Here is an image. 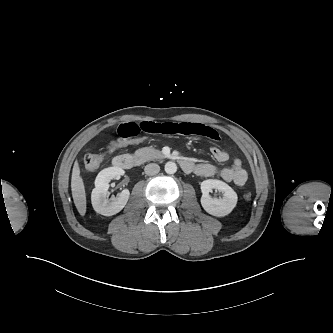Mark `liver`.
Masks as SVG:
<instances>
[{"label":"liver","mask_w":333,"mask_h":333,"mask_svg":"<svg viewBox=\"0 0 333 333\" xmlns=\"http://www.w3.org/2000/svg\"><path fill=\"white\" fill-rule=\"evenodd\" d=\"M71 190L75 206L80 213L84 216L86 213V193L82 177L80 176L79 163L76 161L73 166L71 177Z\"/></svg>","instance_id":"6515ba94"}]
</instances>
